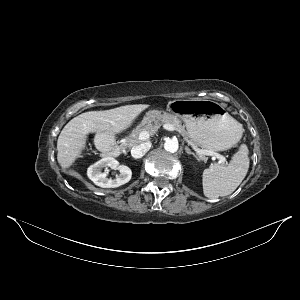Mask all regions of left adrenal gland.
I'll list each match as a JSON object with an SVG mask.
<instances>
[{"label":"left adrenal gland","mask_w":300,"mask_h":300,"mask_svg":"<svg viewBox=\"0 0 300 300\" xmlns=\"http://www.w3.org/2000/svg\"><path fill=\"white\" fill-rule=\"evenodd\" d=\"M185 151L187 154L193 155L198 161H200L199 157L195 153H193L188 146H185Z\"/></svg>","instance_id":"obj_1"}]
</instances>
